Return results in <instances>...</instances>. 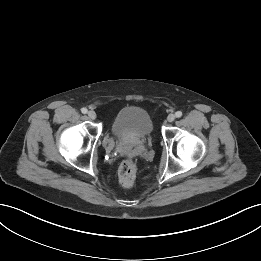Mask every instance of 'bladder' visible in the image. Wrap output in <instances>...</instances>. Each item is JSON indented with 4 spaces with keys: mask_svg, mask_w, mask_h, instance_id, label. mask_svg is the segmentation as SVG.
Listing matches in <instances>:
<instances>
[{
    "mask_svg": "<svg viewBox=\"0 0 261 261\" xmlns=\"http://www.w3.org/2000/svg\"><path fill=\"white\" fill-rule=\"evenodd\" d=\"M152 131L153 121L150 114L137 106L122 108L111 123V133L120 139H142L148 137Z\"/></svg>",
    "mask_w": 261,
    "mask_h": 261,
    "instance_id": "31cf9c89",
    "label": "bladder"
}]
</instances>
